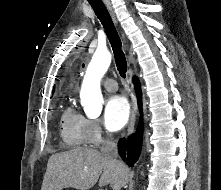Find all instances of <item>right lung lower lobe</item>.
Here are the masks:
<instances>
[{
    "label": "right lung lower lobe",
    "instance_id": "obj_1",
    "mask_svg": "<svg viewBox=\"0 0 221 190\" xmlns=\"http://www.w3.org/2000/svg\"><path fill=\"white\" fill-rule=\"evenodd\" d=\"M137 99H138V107L141 113L139 125L137 128L136 133L132 134L127 140L125 138H121L118 142V151L120 156L126 163L133 167L134 163L138 160L140 152H141V145H142V97H141V89L140 83L137 77L133 79Z\"/></svg>",
    "mask_w": 221,
    "mask_h": 190
}]
</instances>
